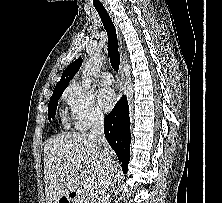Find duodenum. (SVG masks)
Listing matches in <instances>:
<instances>
[{
	"label": "duodenum",
	"instance_id": "obj_1",
	"mask_svg": "<svg viewBox=\"0 0 222 203\" xmlns=\"http://www.w3.org/2000/svg\"><path fill=\"white\" fill-rule=\"evenodd\" d=\"M84 195L83 192L80 189H72L69 194L67 199L62 201L63 203H80L83 201Z\"/></svg>",
	"mask_w": 222,
	"mask_h": 203
}]
</instances>
